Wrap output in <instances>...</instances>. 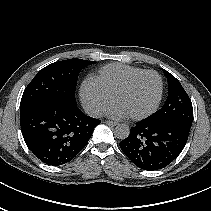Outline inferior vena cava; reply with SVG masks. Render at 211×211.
Segmentation results:
<instances>
[{
	"mask_svg": "<svg viewBox=\"0 0 211 211\" xmlns=\"http://www.w3.org/2000/svg\"><path fill=\"white\" fill-rule=\"evenodd\" d=\"M103 108L102 107H92L87 110L88 115L92 117H101L103 115Z\"/></svg>",
	"mask_w": 211,
	"mask_h": 211,
	"instance_id": "obj_1",
	"label": "inferior vena cava"
}]
</instances>
